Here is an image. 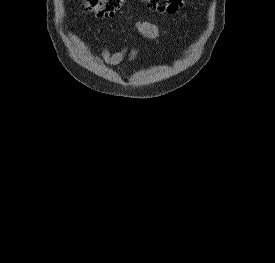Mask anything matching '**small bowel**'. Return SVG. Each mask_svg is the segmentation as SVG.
<instances>
[{"label":"small bowel","mask_w":275,"mask_h":263,"mask_svg":"<svg viewBox=\"0 0 275 263\" xmlns=\"http://www.w3.org/2000/svg\"><path fill=\"white\" fill-rule=\"evenodd\" d=\"M133 24L143 36L149 39H156L159 35L158 27L152 22L136 20L133 22ZM126 52H127V47L125 45L120 50L116 52H111L109 50L107 42L104 41L101 55L90 54L89 56L93 61H95L100 65L115 66L120 64L123 61L126 55ZM137 52H138L137 49H132L129 52V55H128L129 62H132L135 60L137 56Z\"/></svg>","instance_id":"obj_1"}]
</instances>
